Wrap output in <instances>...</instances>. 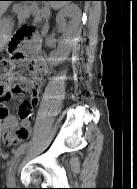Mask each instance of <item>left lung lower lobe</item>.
Instances as JSON below:
<instances>
[{
  "instance_id": "obj_1",
  "label": "left lung lower lobe",
  "mask_w": 137,
  "mask_h": 189,
  "mask_svg": "<svg viewBox=\"0 0 137 189\" xmlns=\"http://www.w3.org/2000/svg\"><path fill=\"white\" fill-rule=\"evenodd\" d=\"M70 1H85V0H70Z\"/></svg>"
}]
</instances>
